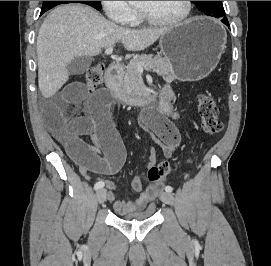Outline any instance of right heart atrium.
Masks as SVG:
<instances>
[{
    "label": "right heart atrium",
    "mask_w": 271,
    "mask_h": 266,
    "mask_svg": "<svg viewBox=\"0 0 271 266\" xmlns=\"http://www.w3.org/2000/svg\"><path fill=\"white\" fill-rule=\"evenodd\" d=\"M107 17L117 24H133L137 17V10L128 1H101Z\"/></svg>",
    "instance_id": "right-heart-atrium-1"
}]
</instances>
